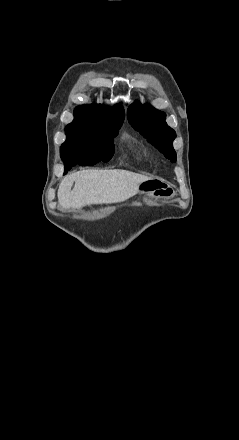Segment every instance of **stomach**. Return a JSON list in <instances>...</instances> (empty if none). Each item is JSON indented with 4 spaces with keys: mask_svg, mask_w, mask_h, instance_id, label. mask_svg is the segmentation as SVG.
<instances>
[{
    "mask_svg": "<svg viewBox=\"0 0 239 440\" xmlns=\"http://www.w3.org/2000/svg\"><path fill=\"white\" fill-rule=\"evenodd\" d=\"M140 192L141 194H153V192H150L149 186H142Z\"/></svg>",
    "mask_w": 239,
    "mask_h": 440,
    "instance_id": "1",
    "label": "stomach"
}]
</instances>
